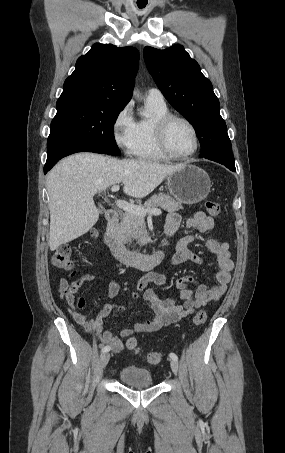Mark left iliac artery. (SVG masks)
<instances>
[{"instance_id": "left-iliac-artery-1", "label": "left iliac artery", "mask_w": 285, "mask_h": 453, "mask_svg": "<svg viewBox=\"0 0 285 453\" xmlns=\"http://www.w3.org/2000/svg\"><path fill=\"white\" fill-rule=\"evenodd\" d=\"M169 356L173 360H176V361L178 360V356L175 353H170Z\"/></svg>"}]
</instances>
